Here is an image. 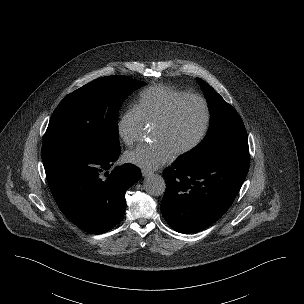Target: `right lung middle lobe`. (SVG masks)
Returning <instances> with one entry per match:
<instances>
[{
	"mask_svg": "<svg viewBox=\"0 0 304 304\" xmlns=\"http://www.w3.org/2000/svg\"><path fill=\"white\" fill-rule=\"evenodd\" d=\"M145 85L122 75L96 79L65 97L52 114L42 155L66 150L121 152L118 111L134 90Z\"/></svg>",
	"mask_w": 304,
	"mask_h": 304,
	"instance_id": "dd1d6c3e",
	"label": "right lung middle lobe"
}]
</instances>
